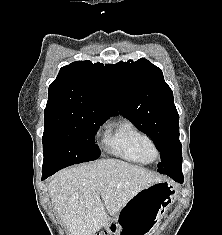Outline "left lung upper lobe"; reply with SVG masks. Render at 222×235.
Here are the masks:
<instances>
[{
	"label": "left lung upper lobe",
	"instance_id": "5c2ea615",
	"mask_svg": "<svg viewBox=\"0 0 222 235\" xmlns=\"http://www.w3.org/2000/svg\"><path fill=\"white\" fill-rule=\"evenodd\" d=\"M106 70L120 115L146 133L160 151L157 171L183 176L179 115L161 69L141 58L108 64Z\"/></svg>",
	"mask_w": 222,
	"mask_h": 235
}]
</instances>
